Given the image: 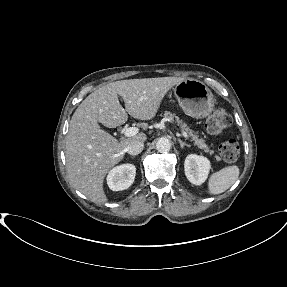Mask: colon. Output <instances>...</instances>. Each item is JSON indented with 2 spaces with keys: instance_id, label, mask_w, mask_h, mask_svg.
<instances>
[{
  "instance_id": "obj_1",
  "label": "colon",
  "mask_w": 287,
  "mask_h": 287,
  "mask_svg": "<svg viewBox=\"0 0 287 287\" xmlns=\"http://www.w3.org/2000/svg\"><path fill=\"white\" fill-rule=\"evenodd\" d=\"M232 123L231 116L224 109H217L206 121L205 129L208 134L216 135L229 127ZM219 154L226 162H235L240 155L238 142L234 139L224 141L219 146Z\"/></svg>"
}]
</instances>
